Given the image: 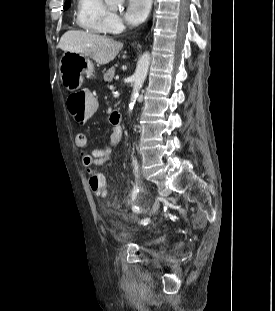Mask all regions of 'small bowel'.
<instances>
[{
  "mask_svg": "<svg viewBox=\"0 0 275 311\" xmlns=\"http://www.w3.org/2000/svg\"><path fill=\"white\" fill-rule=\"evenodd\" d=\"M97 111V107H96ZM111 119H108V126H113L108 143L103 148H93L89 152L81 154L82 164L86 168L101 166L107 163L112 156L113 148L121 141L122 138V121L118 119L117 114H112ZM75 145L78 148L87 146V136L83 132H78L75 135Z\"/></svg>",
  "mask_w": 275,
  "mask_h": 311,
  "instance_id": "1",
  "label": "small bowel"
}]
</instances>
